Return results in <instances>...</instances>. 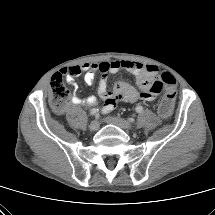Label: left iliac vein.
<instances>
[{
    "label": "left iliac vein",
    "mask_w": 215,
    "mask_h": 215,
    "mask_svg": "<svg viewBox=\"0 0 215 215\" xmlns=\"http://www.w3.org/2000/svg\"><path fill=\"white\" fill-rule=\"evenodd\" d=\"M105 122L118 126L121 129L126 130V131H130L132 129V126L128 121L118 118V117H112V116L106 117Z\"/></svg>",
    "instance_id": "left-iliac-vein-1"
}]
</instances>
